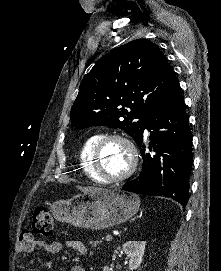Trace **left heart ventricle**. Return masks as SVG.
Here are the masks:
<instances>
[{"mask_svg": "<svg viewBox=\"0 0 221 271\" xmlns=\"http://www.w3.org/2000/svg\"><path fill=\"white\" fill-rule=\"evenodd\" d=\"M100 141H107V144H100L98 163L103 167L104 172L109 173V177H121V169H127V166H129L128 161H124V156H128L127 152L121 149L122 141L125 140L107 138Z\"/></svg>", "mask_w": 221, "mask_h": 271, "instance_id": "1", "label": "left heart ventricle"}]
</instances>
